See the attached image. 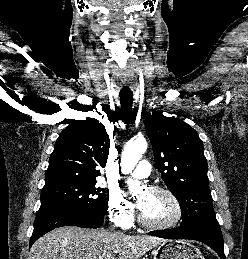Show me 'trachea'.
<instances>
[{"label": "trachea", "mask_w": 248, "mask_h": 259, "mask_svg": "<svg viewBox=\"0 0 248 259\" xmlns=\"http://www.w3.org/2000/svg\"><path fill=\"white\" fill-rule=\"evenodd\" d=\"M120 102L125 117H129L132 110L133 93L131 91L120 92Z\"/></svg>", "instance_id": "3493384b"}]
</instances>
